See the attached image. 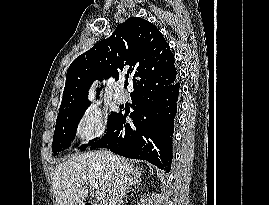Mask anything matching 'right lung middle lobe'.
Segmentation results:
<instances>
[{
  "label": "right lung middle lobe",
  "mask_w": 269,
  "mask_h": 205,
  "mask_svg": "<svg viewBox=\"0 0 269 205\" xmlns=\"http://www.w3.org/2000/svg\"><path fill=\"white\" fill-rule=\"evenodd\" d=\"M86 109L87 108L79 112L58 118L56 120V126H55L53 143H52L53 153L58 154L64 149L69 148L70 142L75 137L79 121L82 118ZM119 114L120 113H111L110 117L108 118L107 128L112 124V122L118 117ZM95 140L96 138L91 140L89 142V145H91ZM86 148H87L86 144L80 147L81 150H85Z\"/></svg>",
  "instance_id": "right-lung-middle-lobe-1"
}]
</instances>
